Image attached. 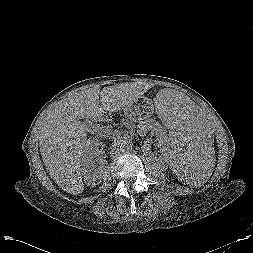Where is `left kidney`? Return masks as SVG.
<instances>
[{
  "label": "left kidney",
  "mask_w": 253,
  "mask_h": 253,
  "mask_svg": "<svg viewBox=\"0 0 253 253\" xmlns=\"http://www.w3.org/2000/svg\"><path fill=\"white\" fill-rule=\"evenodd\" d=\"M149 131H151V135H155L156 139L158 140L159 146L162 149V158L170 160L171 166H173V162L171 161V152L169 150V138L164 127L161 126L158 122L150 119L140 124L137 129L138 134L142 137L145 136ZM176 173L179 175L177 171Z\"/></svg>",
  "instance_id": "obj_1"
}]
</instances>
